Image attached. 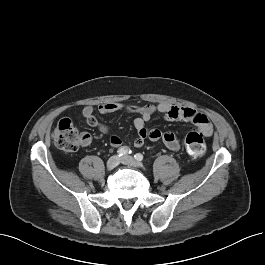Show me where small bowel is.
<instances>
[{"label": "small bowel", "instance_id": "1", "mask_svg": "<svg viewBox=\"0 0 265 265\" xmlns=\"http://www.w3.org/2000/svg\"><path fill=\"white\" fill-rule=\"evenodd\" d=\"M119 110H125L128 113L139 114V117L134 120V127L137 131V137L131 142L135 147H141L146 140L162 141L166 147L172 151H178L180 149V143L173 132L162 131L160 129H147L145 124L150 118L157 112L163 114L168 120H182L194 123L200 132L209 136L213 132L212 124L209 118L191 108V107H178L175 105L161 103V104H121V103H104L98 106V111L101 114H109ZM82 115L86 123L97 128L101 133L108 134L109 127L97 120L94 115V108L92 106H86L82 110ZM91 136L87 132L81 134V143L83 146H88L91 143ZM123 139L119 136L112 135L110 137V145L114 148L122 146Z\"/></svg>", "mask_w": 265, "mask_h": 265}]
</instances>
